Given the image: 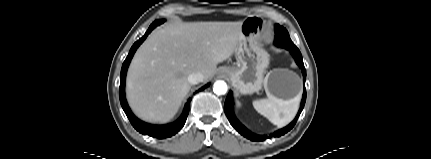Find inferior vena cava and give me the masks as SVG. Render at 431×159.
I'll return each instance as SVG.
<instances>
[{"label":"inferior vena cava","instance_id":"1","mask_svg":"<svg viewBox=\"0 0 431 159\" xmlns=\"http://www.w3.org/2000/svg\"><path fill=\"white\" fill-rule=\"evenodd\" d=\"M204 80V75L201 72H193L188 76V82L192 85L198 84Z\"/></svg>","mask_w":431,"mask_h":159}]
</instances>
